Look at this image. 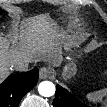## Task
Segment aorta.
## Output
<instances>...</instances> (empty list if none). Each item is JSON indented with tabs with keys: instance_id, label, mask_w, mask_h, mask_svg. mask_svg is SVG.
Segmentation results:
<instances>
[{
	"instance_id": "762f6f07",
	"label": "aorta",
	"mask_w": 107,
	"mask_h": 107,
	"mask_svg": "<svg viewBox=\"0 0 107 107\" xmlns=\"http://www.w3.org/2000/svg\"><path fill=\"white\" fill-rule=\"evenodd\" d=\"M38 90L40 95L50 97L55 93V85L51 81H43L39 84Z\"/></svg>"
}]
</instances>
